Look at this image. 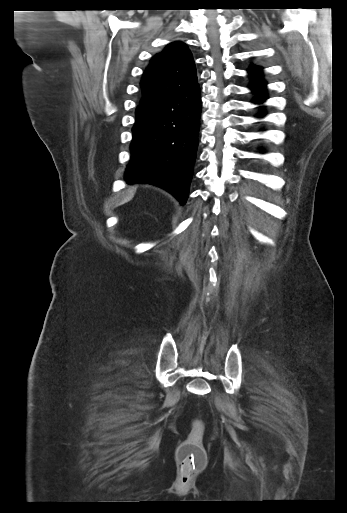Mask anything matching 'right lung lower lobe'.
<instances>
[{"instance_id": "98d812e1", "label": "right lung lower lobe", "mask_w": 347, "mask_h": 513, "mask_svg": "<svg viewBox=\"0 0 347 513\" xmlns=\"http://www.w3.org/2000/svg\"><path fill=\"white\" fill-rule=\"evenodd\" d=\"M199 85L168 97L141 101L126 182L162 187L186 203L200 128Z\"/></svg>"}]
</instances>
